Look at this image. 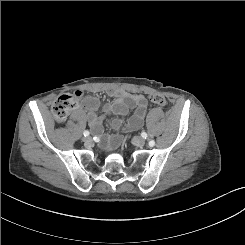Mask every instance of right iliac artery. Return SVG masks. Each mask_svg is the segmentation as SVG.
<instances>
[{"instance_id": "1", "label": "right iliac artery", "mask_w": 245, "mask_h": 245, "mask_svg": "<svg viewBox=\"0 0 245 245\" xmlns=\"http://www.w3.org/2000/svg\"><path fill=\"white\" fill-rule=\"evenodd\" d=\"M89 131H87V130H85L84 132H83V135L86 137V136H89Z\"/></svg>"}]
</instances>
